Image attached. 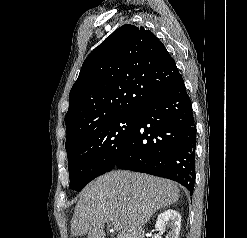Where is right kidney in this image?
Segmentation results:
<instances>
[{
    "label": "right kidney",
    "mask_w": 247,
    "mask_h": 238,
    "mask_svg": "<svg viewBox=\"0 0 247 238\" xmlns=\"http://www.w3.org/2000/svg\"><path fill=\"white\" fill-rule=\"evenodd\" d=\"M167 223L170 224L171 230L166 238H178L181 228V215L173 209L165 210L158 215L155 230L163 231Z\"/></svg>",
    "instance_id": "1"
}]
</instances>
